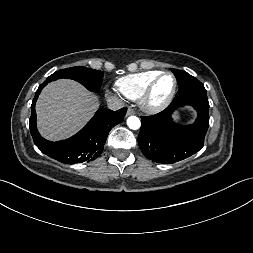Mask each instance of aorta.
Segmentation results:
<instances>
[{"mask_svg":"<svg viewBox=\"0 0 253 253\" xmlns=\"http://www.w3.org/2000/svg\"><path fill=\"white\" fill-rule=\"evenodd\" d=\"M127 125L130 129L137 130L141 126L140 119L136 116H130L127 119Z\"/></svg>","mask_w":253,"mask_h":253,"instance_id":"obj_1","label":"aorta"}]
</instances>
